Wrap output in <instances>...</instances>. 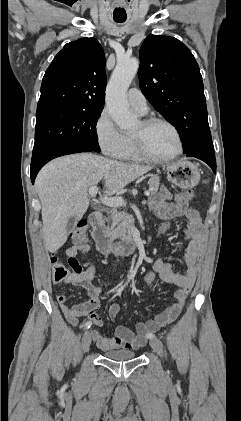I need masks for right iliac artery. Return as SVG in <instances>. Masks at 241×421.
Here are the masks:
<instances>
[{"mask_svg":"<svg viewBox=\"0 0 241 421\" xmlns=\"http://www.w3.org/2000/svg\"><path fill=\"white\" fill-rule=\"evenodd\" d=\"M91 325H92V322L87 321V322L84 324V327L88 329V328H90V327H91Z\"/></svg>","mask_w":241,"mask_h":421,"instance_id":"obj_1","label":"right iliac artery"}]
</instances>
